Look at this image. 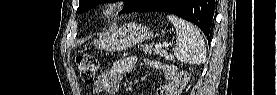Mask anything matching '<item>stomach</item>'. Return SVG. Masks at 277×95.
Instances as JSON below:
<instances>
[{"mask_svg":"<svg viewBox=\"0 0 277 95\" xmlns=\"http://www.w3.org/2000/svg\"><path fill=\"white\" fill-rule=\"evenodd\" d=\"M153 36V32L147 27L136 23H127L106 33L97 40L95 45L99 49L110 52L123 51L147 39L153 38Z\"/></svg>","mask_w":277,"mask_h":95,"instance_id":"obj_1","label":"stomach"}]
</instances>
